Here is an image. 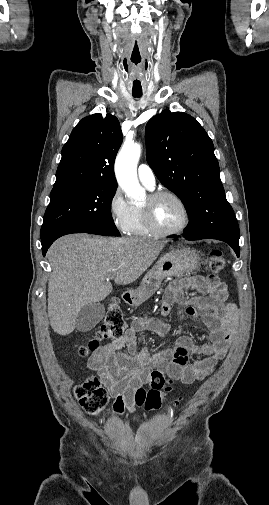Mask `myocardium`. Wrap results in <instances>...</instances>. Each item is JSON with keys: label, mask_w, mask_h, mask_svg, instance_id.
Segmentation results:
<instances>
[{"label": "myocardium", "mask_w": 269, "mask_h": 505, "mask_svg": "<svg viewBox=\"0 0 269 505\" xmlns=\"http://www.w3.org/2000/svg\"><path fill=\"white\" fill-rule=\"evenodd\" d=\"M165 196L175 199L181 205V207L184 211V215H185L184 222L182 223V225L180 227H178L176 229L164 230V229L160 228L154 220L153 205L158 199L165 197ZM140 209L142 212V217H143V221H144L145 226L154 235H158V236L179 235V234L183 233L188 228V226L190 225V222H191V212H190V209H189L187 203L180 195H178L177 193H175L171 190H155V191L150 192L147 195V202L144 205H141Z\"/></svg>", "instance_id": "f54148a6"}]
</instances>
